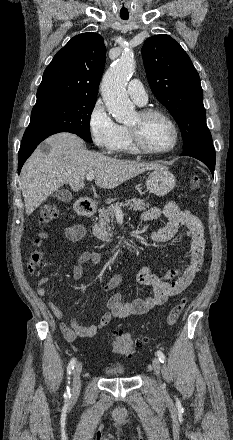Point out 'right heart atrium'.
Returning a JSON list of instances; mask_svg holds the SVG:
<instances>
[{
  "label": "right heart atrium",
  "mask_w": 233,
  "mask_h": 440,
  "mask_svg": "<svg viewBox=\"0 0 233 440\" xmlns=\"http://www.w3.org/2000/svg\"><path fill=\"white\" fill-rule=\"evenodd\" d=\"M88 127L93 143L102 153L118 152L123 138V127L114 121L101 101L93 105L88 117Z\"/></svg>",
  "instance_id": "obj_1"
}]
</instances>
